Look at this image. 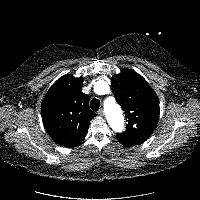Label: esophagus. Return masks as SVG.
Masks as SVG:
<instances>
[{"label": "esophagus", "instance_id": "34e87169", "mask_svg": "<svg viewBox=\"0 0 200 200\" xmlns=\"http://www.w3.org/2000/svg\"><path fill=\"white\" fill-rule=\"evenodd\" d=\"M98 114H99L100 116H104V111H103V109H100V110L98 111Z\"/></svg>", "mask_w": 200, "mask_h": 200}]
</instances>
